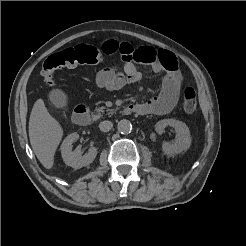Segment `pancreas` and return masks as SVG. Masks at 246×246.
Masks as SVG:
<instances>
[{
  "instance_id": "1",
  "label": "pancreas",
  "mask_w": 246,
  "mask_h": 246,
  "mask_svg": "<svg viewBox=\"0 0 246 246\" xmlns=\"http://www.w3.org/2000/svg\"><path fill=\"white\" fill-rule=\"evenodd\" d=\"M96 113H97V115H95V119H98V118H100L102 115V113H104L105 111H107L108 112V114H113L114 113V111L112 110V109H108V108H106V107H99V108H96Z\"/></svg>"
}]
</instances>
